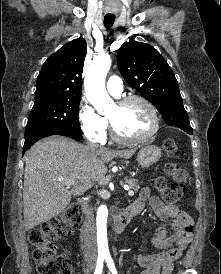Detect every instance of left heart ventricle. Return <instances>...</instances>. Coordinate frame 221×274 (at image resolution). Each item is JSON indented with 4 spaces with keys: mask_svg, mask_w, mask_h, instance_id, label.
Segmentation results:
<instances>
[{
    "mask_svg": "<svg viewBox=\"0 0 221 274\" xmlns=\"http://www.w3.org/2000/svg\"><path fill=\"white\" fill-rule=\"evenodd\" d=\"M107 117L113 122L117 132L127 138H138L145 135L151 126L148 109L140 102L126 106H112Z\"/></svg>",
    "mask_w": 221,
    "mask_h": 274,
    "instance_id": "1",
    "label": "left heart ventricle"
}]
</instances>
